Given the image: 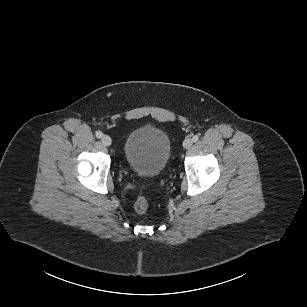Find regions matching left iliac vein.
Wrapping results in <instances>:
<instances>
[{"instance_id":"left-iliac-vein-1","label":"left iliac vein","mask_w":307,"mask_h":307,"mask_svg":"<svg viewBox=\"0 0 307 307\" xmlns=\"http://www.w3.org/2000/svg\"><path fill=\"white\" fill-rule=\"evenodd\" d=\"M193 144V140L191 138H186L184 141H183V147L185 149H188L192 146Z\"/></svg>"}]
</instances>
